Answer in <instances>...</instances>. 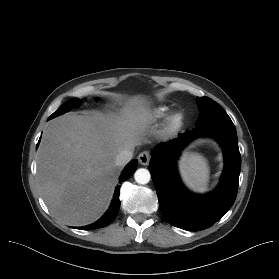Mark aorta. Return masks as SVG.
Returning a JSON list of instances; mask_svg holds the SVG:
<instances>
[{
	"label": "aorta",
	"instance_id": "762f6f07",
	"mask_svg": "<svg viewBox=\"0 0 279 279\" xmlns=\"http://www.w3.org/2000/svg\"><path fill=\"white\" fill-rule=\"evenodd\" d=\"M134 179L139 184H147L151 179L149 170L145 168L137 169L134 173Z\"/></svg>",
	"mask_w": 279,
	"mask_h": 279
}]
</instances>
